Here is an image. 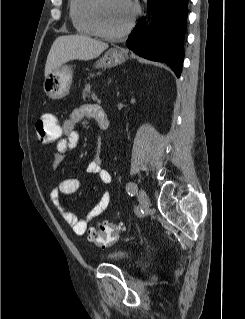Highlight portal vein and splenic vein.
<instances>
[{
  "label": "portal vein and splenic vein",
  "instance_id": "obj_1",
  "mask_svg": "<svg viewBox=\"0 0 245 319\" xmlns=\"http://www.w3.org/2000/svg\"><path fill=\"white\" fill-rule=\"evenodd\" d=\"M92 99H93V100H98V98H97V96H96L95 93L92 94Z\"/></svg>",
  "mask_w": 245,
  "mask_h": 319
}]
</instances>
